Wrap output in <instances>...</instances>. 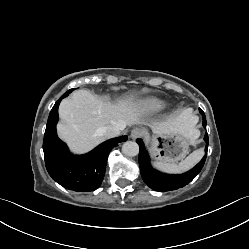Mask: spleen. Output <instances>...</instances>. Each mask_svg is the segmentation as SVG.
Returning <instances> with one entry per match:
<instances>
[{
	"label": "spleen",
	"instance_id": "spleen-1",
	"mask_svg": "<svg viewBox=\"0 0 249 249\" xmlns=\"http://www.w3.org/2000/svg\"><path fill=\"white\" fill-rule=\"evenodd\" d=\"M204 151L203 149H197L189 154L184 160H182L179 164L162 162V161H154V166L163 171L165 173H182L185 172L192 167H194L203 157Z\"/></svg>",
	"mask_w": 249,
	"mask_h": 249
}]
</instances>
